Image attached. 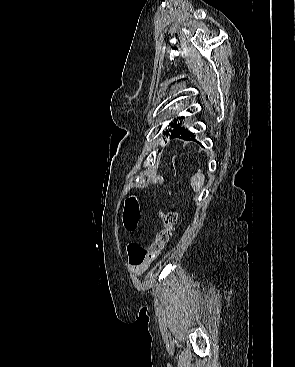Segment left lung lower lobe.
Masks as SVG:
<instances>
[{"instance_id": "0a47b994", "label": "left lung lower lobe", "mask_w": 295, "mask_h": 367, "mask_svg": "<svg viewBox=\"0 0 295 367\" xmlns=\"http://www.w3.org/2000/svg\"><path fill=\"white\" fill-rule=\"evenodd\" d=\"M170 138H180L183 140H193L195 139V135L193 132H191L190 130H188L187 128L184 127H178L174 133L171 135Z\"/></svg>"}]
</instances>
